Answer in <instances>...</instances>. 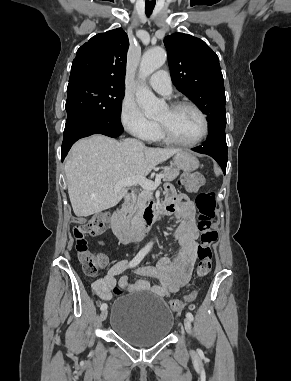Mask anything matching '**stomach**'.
<instances>
[{
	"mask_svg": "<svg viewBox=\"0 0 291 381\" xmlns=\"http://www.w3.org/2000/svg\"><path fill=\"white\" fill-rule=\"evenodd\" d=\"M173 162L178 169L185 172H193L199 167L198 159L187 151L177 153L173 158Z\"/></svg>",
	"mask_w": 291,
	"mask_h": 381,
	"instance_id": "stomach-1",
	"label": "stomach"
}]
</instances>
